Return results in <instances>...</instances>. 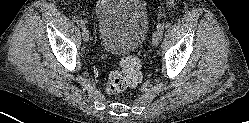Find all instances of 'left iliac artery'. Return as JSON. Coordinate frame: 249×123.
Returning <instances> with one entry per match:
<instances>
[{"label": "left iliac artery", "instance_id": "1", "mask_svg": "<svg viewBox=\"0 0 249 123\" xmlns=\"http://www.w3.org/2000/svg\"><path fill=\"white\" fill-rule=\"evenodd\" d=\"M164 28H165L164 23H159V24L157 25V30H160L161 32L164 31Z\"/></svg>", "mask_w": 249, "mask_h": 123}]
</instances>
